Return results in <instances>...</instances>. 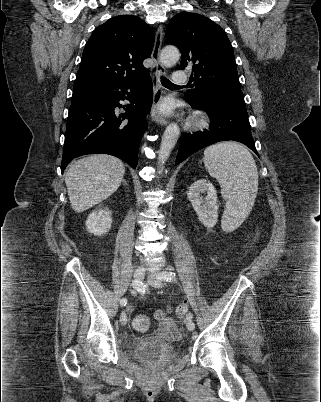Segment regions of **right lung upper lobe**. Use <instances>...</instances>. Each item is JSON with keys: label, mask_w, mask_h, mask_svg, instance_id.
<instances>
[{"label": "right lung upper lobe", "mask_w": 321, "mask_h": 402, "mask_svg": "<svg viewBox=\"0 0 321 402\" xmlns=\"http://www.w3.org/2000/svg\"><path fill=\"white\" fill-rule=\"evenodd\" d=\"M153 46V31L139 17L109 19L88 40L74 87L123 84L148 77L143 60L150 57Z\"/></svg>", "instance_id": "1"}]
</instances>
